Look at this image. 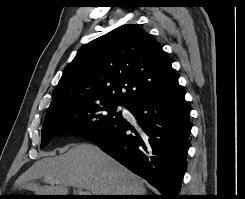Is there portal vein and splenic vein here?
Wrapping results in <instances>:
<instances>
[{
    "label": "portal vein and splenic vein",
    "mask_w": 245,
    "mask_h": 199,
    "mask_svg": "<svg viewBox=\"0 0 245 199\" xmlns=\"http://www.w3.org/2000/svg\"><path fill=\"white\" fill-rule=\"evenodd\" d=\"M77 191L79 192L80 195H92L90 191L83 190L82 188H77Z\"/></svg>",
    "instance_id": "portal-vein-and-splenic-vein-1"
}]
</instances>
